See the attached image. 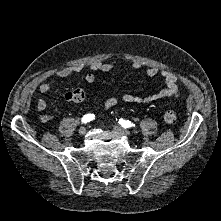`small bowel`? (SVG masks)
Returning <instances> with one entry per match:
<instances>
[{
    "label": "small bowel",
    "instance_id": "obj_1",
    "mask_svg": "<svg viewBox=\"0 0 221 221\" xmlns=\"http://www.w3.org/2000/svg\"><path fill=\"white\" fill-rule=\"evenodd\" d=\"M133 68H139L140 65L135 63L132 65ZM83 69L82 65H68L58 69L55 72L57 77L65 78L77 75ZM90 69L92 73L86 75L85 80L88 83H93L95 81V74L93 72L102 71V72H111L116 69V64L112 62H101L98 60L93 61L90 64ZM146 75L148 77H156L160 75L164 80V87L159 90L158 92L149 95V96H137L130 93H124L120 97H110L105 101L103 104L104 108H112L116 106L120 101L125 103H134L138 105H146L150 103H154L161 99H166L170 97H176L179 93V85H178V78L177 76L169 71H160L157 67H149L146 70ZM53 84L51 82H42L38 89L41 93H48L52 90ZM73 92V91H72ZM72 92H67L65 94V99L68 100L69 95ZM83 100V99H82ZM69 101V100H68ZM37 108L40 111H43L47 108V101L44 99H39L37 101ZM53 119L51 115L43 114L40 117L41 122H50Z\"/></svg>",
    "mask_w": 221,
    "mask_h": 221
}]
</instances>
